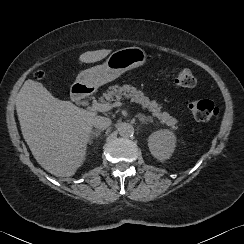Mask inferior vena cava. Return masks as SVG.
<instances>
[{"mask_svg":"<svg viewBox=\"0 0 244 244\" xmlns=\"http://www.w3.org/2000/svg\"><path fill=\"white\" fill-rule=\"evenodd\" d=\"M111 119L103 116H95L92 120V124L97 129H107L111 125Z\"/></svg>","mask_w":244,"mask_h":244,"instance_id":"inferior-vena-cava-1","label":"inferior vena cava"}]
</instances>
